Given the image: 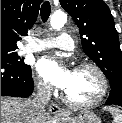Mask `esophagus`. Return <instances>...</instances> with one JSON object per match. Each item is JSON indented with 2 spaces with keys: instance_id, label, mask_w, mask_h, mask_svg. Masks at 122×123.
<instances>
[{
  "instance_id": "obj_1",
  "label": "esophagus",
  "mask_w": 122,
  "mask_h": 123,
  "mask_svg": "<svg viewBox=\"0 0 122 123\" xmlns=\"http://www.w3.org/2000/svg\"><path fill=\"white\" fill-rule=\"evenodd\" d=\"M49 111L52 114L58 115V116H63L65 115V112L54 102H52L49 106Z\"/></svg>"
}]
</instances>
